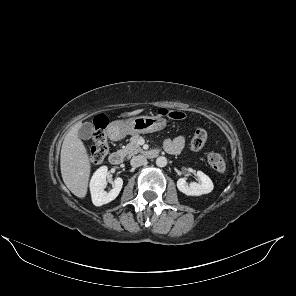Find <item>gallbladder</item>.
Masks as SVG:
<instances>
[{
	"instance_id": "bac80fb5",
	"label": "gallbladder",
	"mask_w": 296,
	"mask_h": 296,
	"mask_svg": "<svg viewBox=\"0 0 296 296\" xmlns=\"http://www.w3.org/2000/svg\"><path fill=\"white\" fill-rule=\"evenodd\" d=\"M94 131V126L91 122H85L82 124L81 128L78 131L80 138L87 140L90 139Z\"/></svg>"
}]
</instances>
